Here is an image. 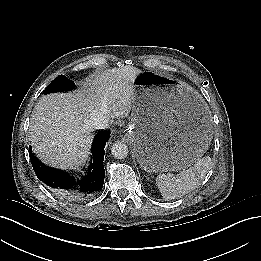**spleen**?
<instances>
[{
	"mask_svg": "<svg viewBox=\"0 0 261 261\" xmlns=\"http://www.w3.org/2000/svg\"><path fill=\"white\" fill-rule=\"evenodd\" d=\"M211 158L205 156L187 170L179 172L176 176L160 174L156 178L157 187L165 199L182 197L194 190L205 177L211 167Z\"/></svg>",
	"mask_w": 261,
	"mask_h": 261,
	"instance_id": "3e777b00",
	"label": "spleen"
}]
</instances>
